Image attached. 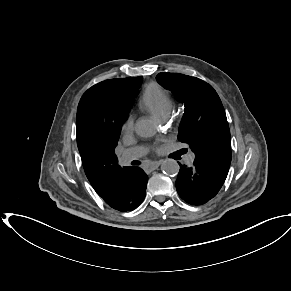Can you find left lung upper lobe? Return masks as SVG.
I'll return each instance as SVG.
<instances>
[{
  "instance_id": "left-lung-upper-lobe-1",
  "label": "left lung upper lobe",
  "mask_w": 291,
  "mask_h": 291,
  "mask_svg": "<svg viewBox=\"0 0 291 291\" xmlns=\"http://www.w3.org/2000/svg\"><path fill=\"white\" fill-rule=\"evenodd\" d=\"M156 80L185 105L178 139L190 145L196 161L227 176L231 163L230 130L214 88L199 78L179 73H159Z\"/></svg>"
}]
</instances>
